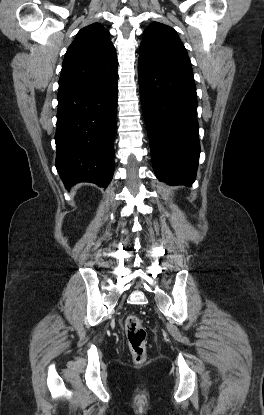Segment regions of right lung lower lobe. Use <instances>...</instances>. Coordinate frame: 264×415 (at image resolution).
I'll return each mask as SVG.
<instances>
[{
    "instance_id": "1",
    "label": "right lung lower lobe",
    "mask_w": 264,
    "mask_h": 415,
    "mask_svg": "<svg viewBox=\"0 0 264 415\" xmlns=\"http://www.w3.org/2000/svg\"><path fill=\"white\" fill-rule=\"evenodd\" d=\"M118 74L58 90L55 166L70 188L78 182L107 187L114 173Z\"/></svg>"
}]
</instances>
